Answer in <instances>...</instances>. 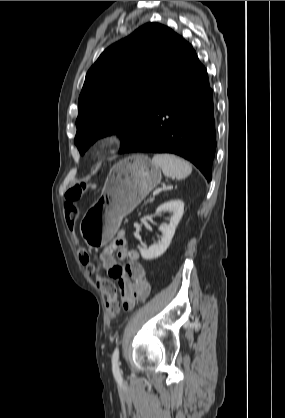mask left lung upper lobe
<instances>
[{"label":"left lung upper lobe","mask_w":285,"mask_h":418,"mask_svg":"<svg viewBox=\"0 0 285 418\" xmlns=\"http://www.w3.org/2000/svg\"><path fill=\"white\" fill-rule=\"evenodd\" d=\"M185 40L147 23L108 47L86 74L74 139L81 154L97 139L118 134L120 153L139 138L182 53Z\"/></svg>","instance_id":"left-lung-upper-lobe-1"}]
</instances>
